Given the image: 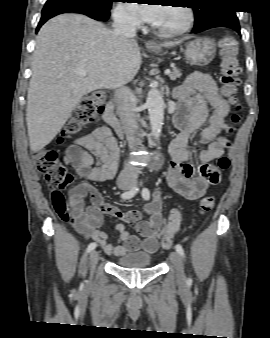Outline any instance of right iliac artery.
Wrapping results in <instances>:
<instances>
[{
    "instance_id": "82829eb1",
    "label": "right iliac artery",
    "mask_w": 270,
    "mask_h": 338,
    "mask_svg": "<svg viewBox=\"0 0 270 338\" xmlns=\"http://www.w3.org/2000/svg\"><path fill=\"white\" fill-rule=\"evenodd\" d=\"M138 190H139L138 187H133L131 190L122 193L121 198L122 199H130V198L135 196V194L137 193ZM96 246H97V244L95 242L90 243L88 245L87 252H91L92 250H94L96 248Z\"/></svg>"
}]
</instances>
